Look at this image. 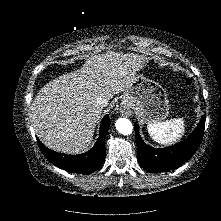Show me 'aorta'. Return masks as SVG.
Returning a JSON list of instances; mask_svg holds the SVG:
<instances>
[{
	"mask_svg": "<svg viewBox=\"0 0 221 221\" xmlns=\"http://www.w3.org/2000/svg\"><path fill=\"white\" fill-rule=\"evenodd\" d=\"M115 127L120 134L129 135L133 131V125L127 118H119L116 120Z\"/></svg>",
	"mask_w": 221,
	"mask_h": 221,
	"instance_id": "obj_1",
	"label": "aorta"
}]
</instances>
